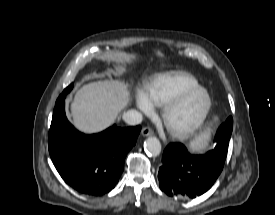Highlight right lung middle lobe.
I'll list each match as a JSON object with an SVG mask.
<instances>
[{"label":"right lung middle lobe","mask_w":275,"mask_h":215,"mask_svg":"<svg viewBox=\"0 0 275 215\" xmlns=\"http://www.w3.org/2000/svg\"><path fill=\"white\" fill-rule=\"evenodd\" d=\"M73 88V83L70 84L63 92L62 94L59 96L58 100L61 99V98H64L66 97V95L72 90Z\"/></svg>","instance_id":"1"}]
</instances>
